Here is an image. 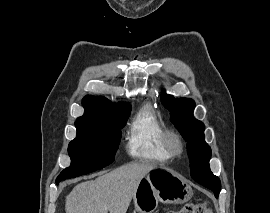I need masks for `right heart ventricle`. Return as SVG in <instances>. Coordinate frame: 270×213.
Wrapping results in <instances>:
<instances>
[{"instance_id": "1", "label": "right heart ventricle", "mask_w": 270, "mask_h": 213, "mask_svg": "<svg viewBox=\"0 0 270 213\" xmlns=\"http://www.w3.org/2000/svg\"><path fill=\"white\" fill-rule=\"evenodd\" d=\"M166 127L148 106L139 110L127 132L126 149L137 160L165 162L170 156L163 146Z\"/></svg>"}]
</instances>
